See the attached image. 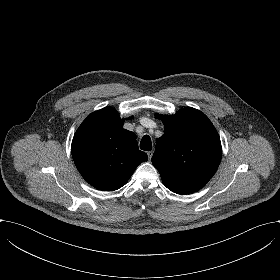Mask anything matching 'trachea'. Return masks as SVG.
Here are the masks:
<instances>
[{"instance_id": "obj_1", "label": "trachea", "mask_w": 280, "mask_h": 280, "mask_svg": "<svg viewBox=\"0 0 280 280\" xmlns=\"http://www.w3.org/2000/svg\"><path fill=\"white\" fill-rule=\"evenodd\" d=\"M140 149L145 151L152 150V142L150 136L144 135L140 142Z\"/></svg>"}]
</instances>
